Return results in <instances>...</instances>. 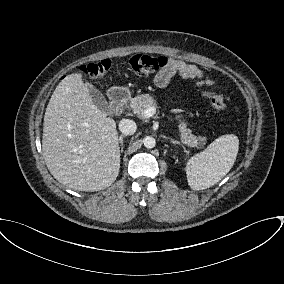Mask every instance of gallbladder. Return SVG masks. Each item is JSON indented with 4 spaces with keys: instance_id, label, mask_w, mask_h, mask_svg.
<instances>
[{
    "instance_id": "gallbladder-1",
    "label": "gallbladder",
    "mask_w": 284,
    "mask_h": 284,
    "mask_svg": "<svg viewBox=\"0 0 284 284\" xmlns=\"http://www.w3.org/2000/svg\"><path fill=\"white\" fill-rule=\"evenodd\" d=\"M88 89L90 97L92 98V101L95 104V106L100 110L104 111L105 113L109 114L110 108L103 94L96 88L92 87L91 85H89Z\"/></svg>"
}]
</instances>
